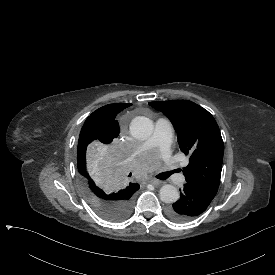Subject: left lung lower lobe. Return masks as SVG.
<instances>
[{
    "label": "left lung lower lobe",
    "mask_w": 275,
    "mask_h": 275,
    "mask_svg": "<svg viewBox=\"0 0 275 275\" xmlns=\"http://www.w3.org/2000/svg\"><path fill=\"white\" fill-rule=\"evenodd\" d=\"M215 196L194 184L186 183L180 199L168 207L167 215L176 222H186L203 213Z\"/></svg>",
    "instance_id": "0a47b994"
}]
</instances>
